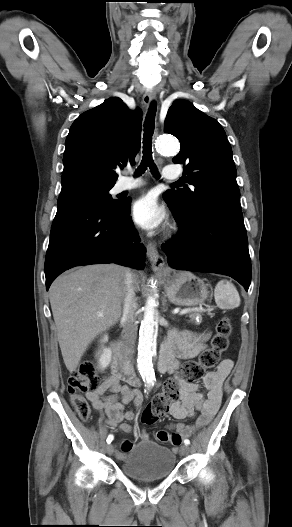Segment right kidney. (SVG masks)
Wrapping results in <instances>:
<instances>
[{"label":"right kidney","mask_w":292,"mask_h":527,"mask_svg":"<svg viewBox=\"0 0 292 527\" xmlns=\"http://www.w3.org/2000/svg\"><path fill=\"white\" fill-rule=\"evenodd\" d=\"M108 341V337L107 335H104V337L102 338L101 342H106ZM100 354V358H99V364H100V368L101 369H105L109 363H110V360H111V351L109 349H103L102 351H100V353H98V355Z\"/></svg>","instance_id":"obj_1"}]
</instances>
